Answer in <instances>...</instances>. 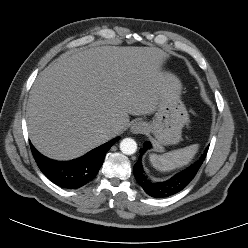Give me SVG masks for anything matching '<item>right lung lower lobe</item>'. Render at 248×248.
I'll use <instances>...</instances> for the list:
<instances>
[{
    "label": "right lung lower lobe",
    "mask_w": 248,
    "mask_h": 248,
    "mask_svg": "<svg viewBox=\"0 0 248 248\" xmlns=\"http://www.w3.org/2000/svg\"><path fill=\"white\" fill-rule=\"evenodd\" d=\"M119 139L117 137L78 159L63 162L44 157L31 143L30 147L38 167L50 181L63 188L76 189L96 177L106 152Z\"/></svg>",
    "instance_id": "98d812e1"
}]
</instances>
